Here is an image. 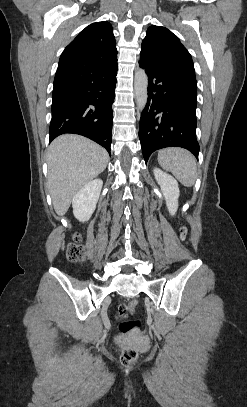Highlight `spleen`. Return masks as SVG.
<instances>
[{
    "instance_id": "3e777b00",
    "label": "spleen",
    "mask_w": 247,
    "mask_h": 407,
    "mask_svg": "<svg viewBox=\"0 0 247 407\" xmlns=\"http://www.w3.org/2000/svg\"><path fill=\"white\" fill-rule=\"evenodd\" d=\"M158 162L161 167L170 171L184 186L191 187L197 178L195 157L187 150L171 147L158 152Z\"/></svg>"
}]
</instances>
